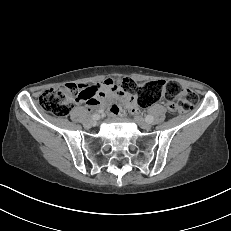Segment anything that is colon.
Returning a JSON list of instances; mask_svg holds the SVG:
<instances>
[{
	"label": "colon",
	"instance_id": "colon-1",
	"mask_svg": "<svg viewBox=\"0 0 231 231\" xmlns=\"http://www.w3.org/2000/svg\"><path fill=\"white\" fill-rule=\"evenodd\" d=\"M114 87L128 95H136L141 107H148L165 99L168 109L174 113L191 110L197 103V95L175 81L155 80L138 85L129 78L115 82ZM87 95L76 84H66L59 88L44 91L38 100L39 106L46 112L65 117L74 103Z\"/></svg>",
	"mask_w": 231,
	"mask_h": 231
}]
</instances>
